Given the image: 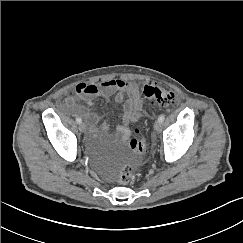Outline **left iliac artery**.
Wrapping results in <instances>:
<instances>
[{"label":"left iliac artery","mask_w":243,"mask_h":243,"mask_svg":"<svg viewBox=\"0 0 243 243\" xmlns=\"http://www.w3.org/2000/svg\"><path fill=\"white\" fill-rule=\"evenodd\" d=\"M164 119H165V114H161L158 118V121L162 123Z\"/></svg>","instance_id":"44dca946"}]
</instances>
